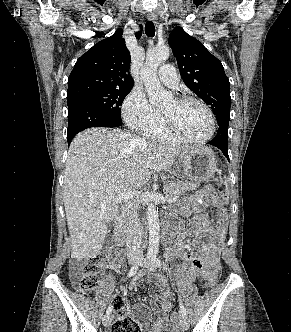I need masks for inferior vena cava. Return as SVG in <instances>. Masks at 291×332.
<instances>
[{"mask_svg":"<svg viewBox=\"0 0 291 332\" xmlns=\"http://www.w3.org/2000/svg\"><path fill=\"white\" fill-rule=\"evenodd\" d=\"M137 139L141 140L139 137ZM126 246L127 253L138 255L142 254L141 227L136 206L130 207L127 212Z\"/></svg>","mask_w":291,"mask_h":332,"instance_id":"1","label":"inferior vena cava"}]
</instances>
